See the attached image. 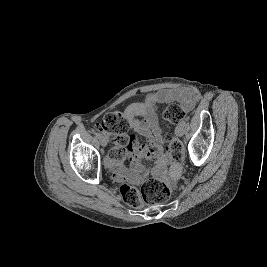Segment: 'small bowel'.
I'll return each instance as SVG.
<instances>
[{"mask_svg":"<svg viewBox=\"0 0 267 267\" xmlns=\"http://www.w3.org/2000/svg\"><path fill=\"white\" fill-rule=\"evenodd\" d=\"M198 93L194 88L164 89L150 93L143 102L134 103L126 110L135 134L142 137L145 142L140 143L136 137L132 139L128 155L129 167L122 163H112L111 169L116 181L128 184H139L150 174L157 178L166 175L170 167V175L178 176L179 163L163 148V138L159 127L157 111L161 104L180 102L187 109L196 102ZM147 161L149 164H145Z\"/></svg>","mask_w":267,"mask_h":267,"instance_id":"obj_1","label":"small bowel"}]
</instances>
